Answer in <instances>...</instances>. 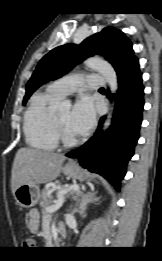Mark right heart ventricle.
<instances>
[{
  "instance_id": "e07e8e85",
  "label": "right heart ventricle",
  "mask_w": 162,
  "mask_h": 261,
  "mask_svg": "<svg viewBox=\"0 0 162 261\" xmlns=\"http://www.w3.org/2000/svg\"><path fill=\"white\" fill-rule=\"evenodd\" d=\"M59 98L48 89L32 96L23 120L25 139L30 147L42 151H52L57 147L52 126V104Z\"/></svg>"
}]
</instances>
